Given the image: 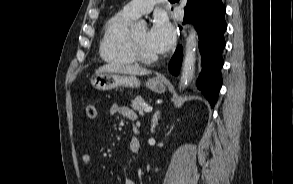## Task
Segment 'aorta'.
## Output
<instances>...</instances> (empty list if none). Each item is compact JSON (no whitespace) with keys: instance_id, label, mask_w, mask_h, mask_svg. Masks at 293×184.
<instances>
[{"instance_id":"762f6f07","label":"aorta","mask_w":293,"mask_h":184,"mask_svg":"<svg viewBox=\"0 0 293 184\" xmlns=\"http://www.w3.org/2000/svg\"><path fill=\"white\" fill-rule=\"evenodd\" d=\"M146 23L141 20L135 24V27H145ZM198 36L195 29L192 27L189 36L186 40L185 54L183 60V66L181 71L180 82L183 87L188 85L192 80L195 73V62H196V46H197Z\"/></svg>"}]
</instances>
